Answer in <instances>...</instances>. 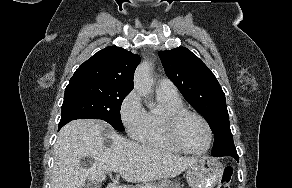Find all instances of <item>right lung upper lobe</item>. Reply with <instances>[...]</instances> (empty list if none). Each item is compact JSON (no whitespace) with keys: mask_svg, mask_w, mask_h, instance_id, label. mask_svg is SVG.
Wrapping results in <instances>:
<instances>
[{"mask_svg":"<svg viewBox=\"0 0 292 188\" xmlns=\"http://www.w3.org/2000/svg\"><path fill=\"white\" fill-rule=\"evenodd\" d=\"M140 56L121 47L109 46L85 61L70 82H97L132 90L133 75Z\"/></svg>","mask_w":292,"mask_h":188,"instance_id":"cb5924a9","label":"right lung upper lobe"}]
</instances>
